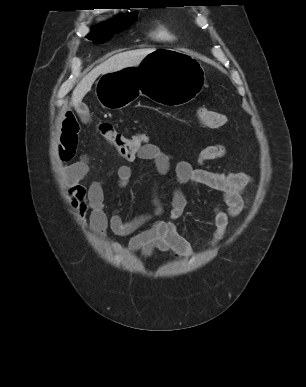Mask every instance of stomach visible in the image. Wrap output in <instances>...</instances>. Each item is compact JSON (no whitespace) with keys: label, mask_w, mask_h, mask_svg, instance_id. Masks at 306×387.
Segmentation results:
<instances>
[{"label":"stomach","mask_w":306,"mask_h":387,"mask_svg":"<svg viewBox=\"0 0 306 387\" xmlns=\"http://www.w3.org/2000/svg\"><path fill=\"white\" fill-rule=\"evenodd\" d=\"M153 50L135 68L103 74L96 94L104 108H124L143 94L145 99L162 104V108L192 104L205 83L201 63L169 46H154Z\"/></svg>","instance_id":"1"}]
</instances>
